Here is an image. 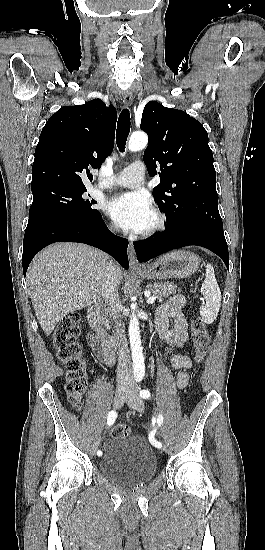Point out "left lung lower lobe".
Wrapping results in <instances>:
<instances>
[{"instance_id": "left-lung-lower-lobe-1", "label": "left lung lower lobe", "mask_w": 265, "mask_h": 550, "mask_svg": "<svg viewBox=\"0 0 265 550\" xmlns=\"http://www.w3.org/2000/svg\"><path fill=\"white\" fill-rule=\"evenodd\" d=\"M197 245L216 253L229 266L228 246L223 228L199 222L186 221L168 227L157 236L134 242L139 262L148 261L169 250Z\"/></svg>"}]
</instances>
